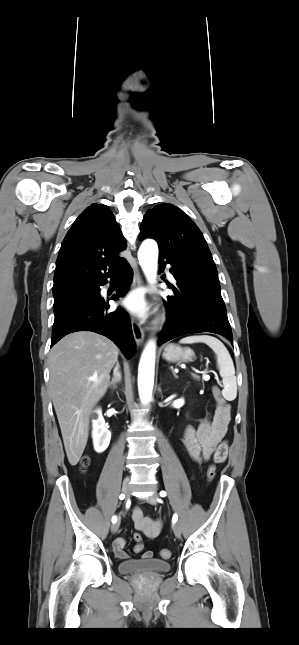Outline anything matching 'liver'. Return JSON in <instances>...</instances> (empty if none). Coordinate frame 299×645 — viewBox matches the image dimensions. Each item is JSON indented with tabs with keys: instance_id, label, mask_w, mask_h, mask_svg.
<instances>
[{
	"instance_id": "1",
	"label": "liver",
	"mask_w": 299,
	"mask_h": 645,
	"mask_svg": "<svg viewBox=\"0 0 299 645\" xmlns=\"http://www.w3.org/2000/svg\"><path fill=\"white\" fill-rule=\"evenodd\" d=\"M118 354L111 340L89 331L67 335L50 351L49 392L72 466L83 454L90 414L109 387Z\"/></svg>"
}]
</instances>
